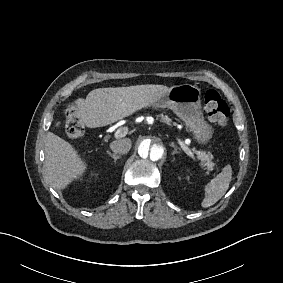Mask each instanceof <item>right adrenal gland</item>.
Returning <instances> with one entry per match:
<instances>
[{"mask_svg": "<svg viewBox=\"0 0 283 283\" xmlns=\"http://www.w3.org/2000/svg\"><path fill=\"white\" fill-rule=\"evenodd\" d=\"M107 153L110 155V157H112L114 159V162L116 163V161L120 158L119 155L116 154H112L110 151H107Z\"/></svg>", "mask_w": 283, "mask_h": 283, "instance_id": "1", "label": "right adrenal gland"}]
</instances>
